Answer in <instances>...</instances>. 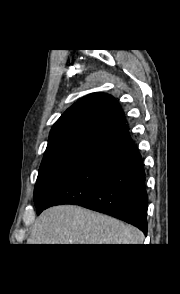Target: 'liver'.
<instances>
[{
    "label": "liver",
    "mask_w": 180,
    "mask_h": 294,
    "mask_svg": "<svg viewBox=\"0 0 180 294\" xmlns=\"http://www.w3.org/2000/svg\"><path fill=\"white\" fill-rule=\"evenodd\" d=\"M143 233L115 218L63 205L45 210L34 222L27 244H142Z\"/></svg>",
    "instance_id": "6515ba94"
}]
</instances>
